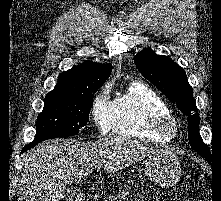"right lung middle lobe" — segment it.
Returning a JSON list of instances; mask_svg holds the SVG:
<instances>
[{
	"mask_svg": "<svg viewBox=\"0 0 221 201\" xmlns=\"http://www.w3.org/2000/svg\"><path fill=\"white\" fill-rule=\"evenodd\" d=\"M95 92L87 95L48 93L44 100V109L36 122L34 140L77 134L89 121Z\"/></svg>",
	"mask_w": 221,
	"mask_h": 201,
	"instance_id": "right-lung-middle-lobe-1",
	"label": "right lung middle lobe"
}]
</instances>
